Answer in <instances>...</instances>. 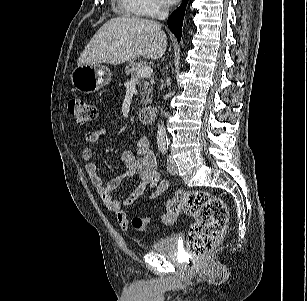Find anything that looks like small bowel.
I'll list each match as a JSON object with an SVG mask.
<instances>
[{
    "instance_id": "c3829d8e",
    "label": "small bowel",
    "mask_w": 307,
    "mask_h": 301,
    "mask_svg": "<svg viewBox=\"0 0 307 301\" xmlns=\"http://www.w3.org/2000/svg\"><path fill=\"white\" fill-rule=\"evenodd\" d=\"M107 134L108 129L105 127L86 133L82 149V157L87 162L85 171L104 204L115 213L120 228L128 230L130 222L125 208L137 201L148 188L152 189V192L148 195V200H156L168 190L169 185L166 181L160 179L156 157L145 138L139 139L135 151H124L121 154V160L125 166L124 172L108 182H104L92 160L94 145ZM132 176L137 177L134 189L124 200L114 199L112 196L114 190L120 186L124 178Z\"/></svg>"
}]
</instances>
